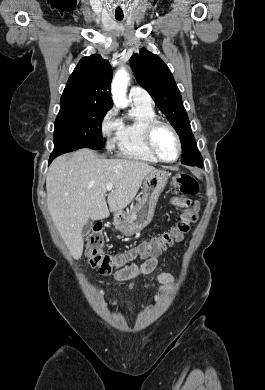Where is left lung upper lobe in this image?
<instances>
[{"mask_svg": "<svg viewBox=\"0 0 265 390\" xmlns=\"http://www.w3.org/2000/svg\"><path fill=\"white\" fill-rule=\"evenodd\" d=\"M130 64L137 82L148 91L179 135L182 163L201 167L203 159L197 149L181 93L167 65L159 56L144 48L139 54L131 56Z\"/></svg>", "mask_w": 265, "mask_h": 390, "instance_id": "obj_1", "label": "left lung upper lobe"}]
</instances>
